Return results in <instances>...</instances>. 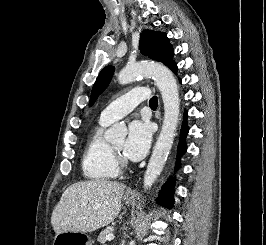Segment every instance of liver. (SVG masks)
<instances>
[{"label": "liver", "instance_id": "6515ba94", "mask_svg": "<svg viewBox=\"0 0 266 245\" xmlns=\"http://www.w3.org/2000/svg\"><path fill=\"white\" fill-rule=\"evenodd\" d=\"M126 185L115 181H83L64 191L51 225L56 233H92L107 227L121 211Z\"/></svg>", "mask_w": 266, "mask_h": 245}]
</instances>
